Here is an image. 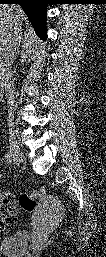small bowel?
<instances>
[{"mask_svg":"<svg viewBox=\"0 0 106 257\" xmlns=\"http://www.w3.org/2000/svg\"><path fill=\"white\" fill-rule=\"evenodd\" d=\"M0 226L4 228L7 225H12L17 220V211L13 205L12 198L8 194L1 195L0 201Z\"/></svg>","mask_w":106,"mask_h":257,"instance_id":"c3829d8e","label":"small bowel"}]
</instances>
